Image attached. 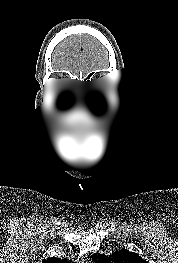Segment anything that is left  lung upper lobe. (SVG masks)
<instances>
[{
  "label": "left lung upper lobe",
  "instance_id": "left-lung-upper-lobe-1",
  "mask_svg": "<svg viewBox=\"0 0 178 263\" xmlns=\"http://www.w3.org/2000/svg\"><path fill=\"white\" fill-rule=\"evenodd\" d=\"M91 258L95 263H147L137 253L129 252L125 249L116 251L110 256L93 254Z\"/></svg>",
  "mask_w": 178,
  "mask_h": 263
}]
</instances>
